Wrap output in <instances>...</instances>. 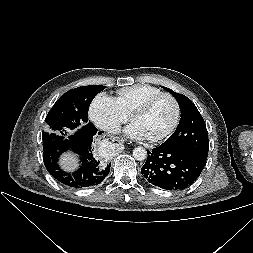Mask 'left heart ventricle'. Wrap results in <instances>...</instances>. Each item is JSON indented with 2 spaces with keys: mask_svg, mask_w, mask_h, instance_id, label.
<instances>
[{
  "mask_svg": "<svg viewBox=\"0 0 253 253\" xmlns=\"http://www.w3.org/2000/svg\"><path fill=\"white\" fill-rule=\"evenodd\" d=\"M175 117L173 102L168 97L159 99L149 111L133 121L147 134L148 138L162 135L172 124Z\"/></svg>",
  "mask_w": 253,
  "mask_h": 253,
  "instance_id": "b2bd125f",
  "label": "left heart ventricle"
}]
</instances>
